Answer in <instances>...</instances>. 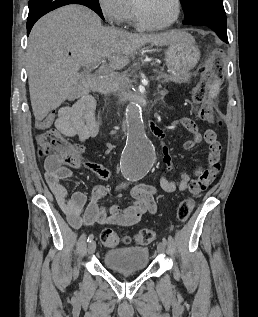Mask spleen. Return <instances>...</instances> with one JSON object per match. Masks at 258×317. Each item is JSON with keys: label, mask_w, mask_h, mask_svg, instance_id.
Wrapping results in <instances>:
<instances>
[{"label": "spleen", "mask_w": 258, "mask_h": 317, "mask_svg": "<svg viewBox=\"0 0 258 317\" xmlns=\"http://www.w3.org/2000/svg\"><path fill=\"white\" fill-rule=\"evenodd\" d=\"M219 80H214V82H212L211 86H210V96H217V94H219Z\"/></svg>", "instance_id": "obj_1"}]
</instances>
